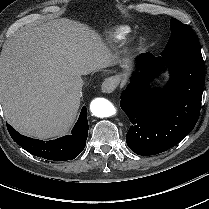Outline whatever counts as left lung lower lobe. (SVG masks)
<instances>
[{"label": "left lung lower lobe", "mask_w": 209, "mask_h": 209, "mask_svg": "<svg viewBox=\"0 0 209 209\" xmlns=\"http://www.w3.org/2000/svg\"><path fill=\"white\" fill-rule=\"evenodd\" d=\"M141 73L132 76L121 94L120 106L131 127L128 147L138 155H155L178 144L196 125L205 82L201 48L154 57L144 53L137 59ZM169 68L171 78L164 90L150 89L149 74Z\"/></svg>", "instance_id": "0a47b994"}]
</instances>
